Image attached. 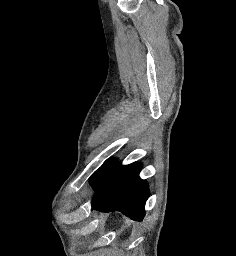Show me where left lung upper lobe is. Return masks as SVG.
Here are the masks:
<instances>
[{
  "mask_svg": "<svg viewBox=\"0 0 236 256\" xmlns=\"http://www.w3.org/2000/svg\"><path fill=\"white\" fill-rule=\"evenodd\" d=\"M116 161L109 160L93 175V177L90 180V185L95 190L98 188L105 179L110 175L112 170L114 169L116 165Z\"/></svg>",
  "mask_w": 236,
  "mask_h": 256,
  "instance_id": "1",
  "label": "left lung upper lobe"
}]
</instances>
